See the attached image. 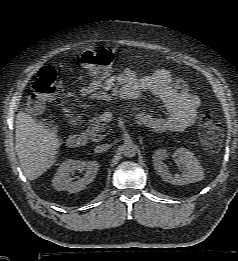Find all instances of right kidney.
<instances>
[{
	"instance_id": "ca27d5eb",
	"label": "right kidney",
	"mask_w": 238,
	"mask_h": 261,
	"mask_svg": "<svg viewBox=\"0 0 238 261\" xmlns=\"http://www.w3.org/2000/svg\"><path fill=\"white\" fill-rule=\"evenodd\" d=\"M99 167L100 165L96 161L68 159L58 168L52 180V185L57 191H68L70 193L79 192L93 182ZM76 170L79 172L85 171L84 176L78 180L72 181L70 174Z\"/></svg>"
}]
</instances>
